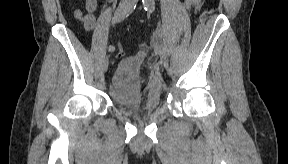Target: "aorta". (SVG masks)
I'll return each mask as SVG.
<instances>
[{"mask_svg":"<svg viewBox=\"0 0 288 164\" xmlns=\"http://www.w3.org/2000/svg\"><path fill=\"white\" fill-rule=\"evenodd\" d=\"M143 6L148 10H154V0H143Z\"/></svg>","mask_w":288,"mask_h":164,"instance_id":"obj_1","label":"aorta"}]
</instances>
